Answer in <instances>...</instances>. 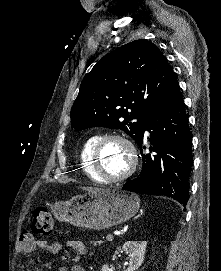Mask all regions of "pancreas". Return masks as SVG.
Listing matches in <instances>:
<instances>
[{"label": "pancreas", "instance_id": "1", "mask_svg": "<svg viewBox=\"0 0 221 271\" xmlns=\"http://www.w3.org/2000/svg\"><path fill=\"white\" fill-rule=\"evenodd\" d=\"M89 244H92V247H103L105 239H89Z\"/></svg>", "mask_w": 221, "mask_h": 271}]
</instances>
